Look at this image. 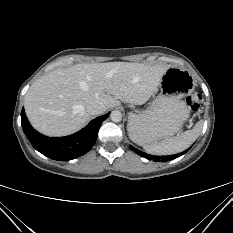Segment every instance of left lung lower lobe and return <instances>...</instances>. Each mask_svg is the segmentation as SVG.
Instances as JSON below:
<instances>
[{
    "instance_id": "left-lung-lower-lobe-1",
    "label": "left lung lower lobe",
    "mask_w": 233,
    "mask_h": 233,
    "mask_svg": "<svg viewBox=\"0 0 233 233\" xmlns=\"http://www.w3.org/2000/svg\"><path fill=\"white\" fill-rule=\"evenodd\" d=\"M130 148L135 151L137 154H139L142 157L147 158L148 160H153L155 162H160V161H169V160H173L176 159L178 157H180L181 155L185 154L189 149L185 150L184 152L175 154V155H169V156H153V155H149L146 154L136 148H134L133 146H130Z\"/></svg>"
}]
</instances>
